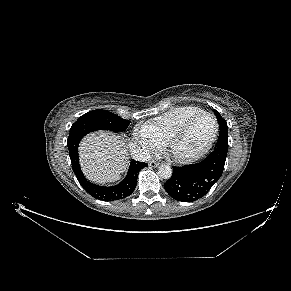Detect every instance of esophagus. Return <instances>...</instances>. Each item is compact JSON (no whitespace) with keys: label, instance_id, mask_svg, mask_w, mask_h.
Masks as SVG:
<instances>
[{"label":"esophagus","instance_id":"1","mask_svg":"<svg viewBox=\"0 0 291 291\" xmlns=\"http://www.w3.org/2000/svg\"><path fill=\"white\" fill-rule=\"evenodd\" d=\"M159 165H160V163L159 162H156V161H150L149 162V166L150 167H153V168L158 167Z\"/></svg>","mask_w":291,"mask_h":291}]
</instances>
